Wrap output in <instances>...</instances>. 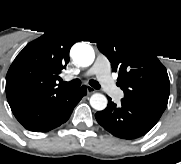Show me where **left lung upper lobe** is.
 Segmentation results:
<instances>
[{"instance_id":"obj_1","label":"left lung upper lobe","mask_w":181,"mask_h":164,"mask_svg":"<svg viewBox=\"0 0 181 164\" xmlns=\"http://www.w3.org/2000/svg\"><path fill=\"white\" fill-rule=\"evenodd\" d=\"M98 49L118 72L117 85L125 100L165 110L169 98V77L166 68L152 48L131 34L108 28L95 31Z\"/></svg>"}]
</instances>
